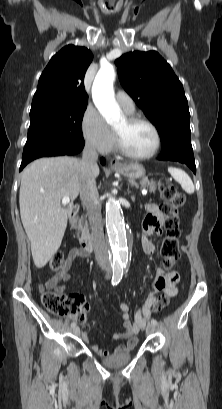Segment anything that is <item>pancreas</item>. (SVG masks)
Wrapping results in <instances>:
<instances>
[{
    "mask_svg": "<svg viewBox=\"0 0 222 409\" xmlns=\"http://www.w3.org/2000/svg\"><path fill=\"white\" fill-rule=\"evenodd\" d=\"M140 185L142 188L149 187L151 193H155L156 191V183L153 180H148L147 178H144L141 182ZM79 229L86 234L88 232V224L86 221L81 220L79 224Z\"/></svg>",
    "mask_w": 222,
    "mask_h": 409,
    "instance_id": "cf45deb5",
    "label": "pancreas"
}]
</instances>
